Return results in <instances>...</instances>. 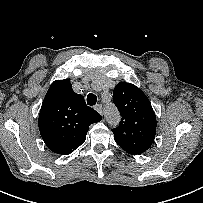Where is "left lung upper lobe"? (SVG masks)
Segmentation results:
<instances>
[{
	"label": "left lung upper lobe",
	"instance_id": "5c2ea615",
	"mask_svg": "<svg viewBox=\"0 0 203 203\" xmlns=\"http://www.w3.org/2000/svg\"><path fill=\"white\" fill-rule=\"evenodd\" d=\"M113 102L121 114L112 129L116 143L129 154H141L154 142L156 115L144 92L133 84L120 82L113 91Z\"/></svg>",
	"mask_w": 203,
	"mask_h": 203
}]
</instances>
